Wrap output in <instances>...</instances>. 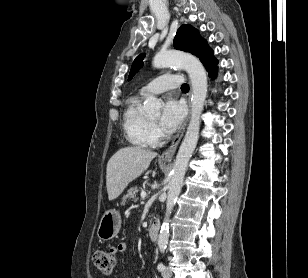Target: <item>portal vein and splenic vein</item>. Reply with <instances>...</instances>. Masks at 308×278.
I'll list each match as a JSON object with an SVG mask.
<instances>
[{"mask_svg":"<svg viewBox=\"0 0 308 278\" xmlns=\"http://www.w3.org/2000/svg\"><path fill=\"white\" fill-rule=\"evenodd\" d=\"M146 195H147V193H146L145 191H142V192H141V198H142V199H145Z\"/></svg>","mask_w":308,"mask_h":278,"instance_id":"portal-vein-and-splenic-vein-1","label":"portal vein and splenic vein"}]
</instances>
